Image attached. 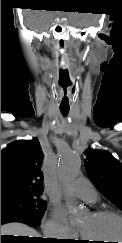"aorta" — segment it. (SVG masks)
<instances>
[{
  "mask_svg": "<svg viewBox=\"0 0 122 243\" xmlns=\"http://www.w3.org/2000/svg\"><path fill=\"white\" fill-rule=\"evenodd\" d=\"M80 173V158L73 152L62 154L58 161L57 176L61 182L68 185L74 182ZM69 208L72 212L77 209L76 203L68 199Z\"/></svg>",
  "mask_w": 122,
  "mask_h": 243,
  "instance_id": "1",
  "label": "aorta"
}]
</instances>
